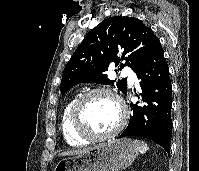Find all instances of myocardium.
I'll use <instances>...</instances> for the list:
<instances>
[{
    "instance_id": "f54148a6",
    "label": "myocardium",
    "mask_w": 199,
    "mask_h": 171,
    "mask_svg": "<svg viewBox=\"0 0 199 171\" xmlns=\"http://www.w3.org/2000/svg\"><path fill=\"white\" fill-rule=\"evenodd\" d=\"M98 94H105L112 97L118 104L121 113L118 125L113 130L104 134H96L92 132L87 126L84 117V107L87 100ZM128 117L129 112L124 99L117 92L106 87H98L87 90L75 99L71 110V123L74 132L89 141H102L117 136L126 126Z\"/></svg>"
}]
</instances>
